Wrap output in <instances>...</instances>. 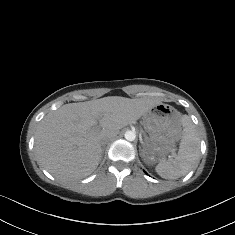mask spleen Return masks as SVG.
I'll list each match as a JSON object with an SVG mask.
<instances>
[{"label": "spleen", "instance_id": "1", "mask_svg": "<svg viewBox=\"0 0 235 235\" xmlns=\"http://www.w3.org/2000/svg\"><path fill=\"white\" fill-rule=\"evenodd\" d=\"M182 124L184 129L178 155L173 159L163 158L155 168L157 174L164 179H177L186 175L198 166L200 160V139L196 126L187 115L183 116Z\"/></svg>", "mask_w": 235, "mask_h": 235}]
</instances>
